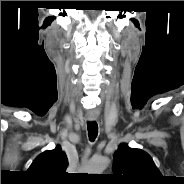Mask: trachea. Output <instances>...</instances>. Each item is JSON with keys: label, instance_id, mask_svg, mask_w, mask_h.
Instances as JSON below:
<instances>
[{"label": "trachea", "instance_id": "1", "mask_svg": "<svg viewBox=\"0 0 184 184\" xmlns=\"http://www.w3.org/2000/svg\"><path fill=\"white\" fill-rule=\"evenodd\" d=\"M88 136L91 141H94L98 135V124L95 121L87 122Z\"/></svg>", "mask_w": 184, "mask_h": 184}]
</instances>
